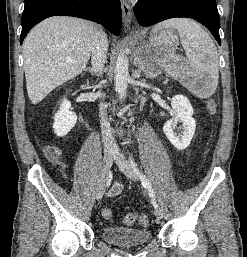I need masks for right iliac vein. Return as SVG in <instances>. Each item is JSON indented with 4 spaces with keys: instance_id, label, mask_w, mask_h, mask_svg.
Returning a JSON list of instances; mask_svg holds the SVG:
<instances>
[{
    "instance_id": "right-iliac-vein-1",
    "label": "right iliac vein",
    "mask_w": 247,
    "mask_h": 257,
    "mask_svg": "<svg viewBox=\"0 0 247 257\" xmlns=\"http://www.w3.org/2000/svg\"><path fill=\"white\" fill-rule=\"evenodd\" d=\"M113 160V151L112 150H106L104 153V159H103V171L101 175L100 184L98 186L97 192H96V199L100 200L105 191V181L108 176L111 164Z\"/></svg>"
}]
</instances>
